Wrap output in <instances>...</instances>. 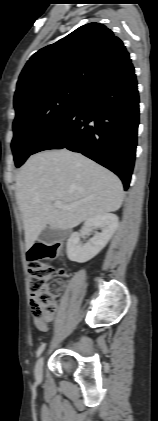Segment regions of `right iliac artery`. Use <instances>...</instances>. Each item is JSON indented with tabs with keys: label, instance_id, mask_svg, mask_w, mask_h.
Wrapping results in <instances>:
<instances>
[{
	"label": "right iliac artery",
	"instance_id": "1",
	"mask_svg": "<svg viewBox=\"0 0 158 421\" xmlns=\"http://www.w3.org/2000/svg\"><path fill=\"white\" fill-rule=\"evenodd\" d=\"M45 343H42V345L38 348L36 356L39 357L41 355V353L43 352L44 348H45Z\"/></svg>",
	"mask_w": 158,
	"mask_h": 421
}]
</instances>
